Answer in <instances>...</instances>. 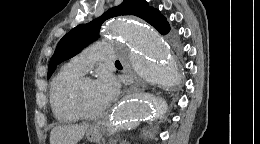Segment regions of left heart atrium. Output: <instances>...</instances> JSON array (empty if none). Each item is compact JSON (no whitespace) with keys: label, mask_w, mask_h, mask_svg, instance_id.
Segmentation results:
<instances>
[{"label":"left heart atrium","mask_w":260,"mask_h":144,"mask_svg":"<svg viewBox=\"0 0 260 144\" xmlns=\"http://www.w3.org/2000/svg\"><path fill=\"white\" fill-rule=\"evenodd\" d=\"M95 86L98 96L104 106L110 103L119 92V83L117 79L109 73H102L95 82Z\"/></svg>","instance_id":"39dd6f15"}]
</instances>
